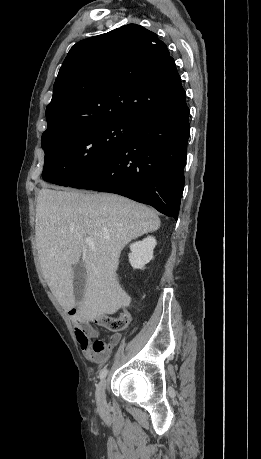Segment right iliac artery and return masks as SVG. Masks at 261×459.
<instances>
[{
    "label": "right iliac artery",
    "mask_w": 261,
    "mask_h": 459,
    "mask_svg": "<svg viewBox=\"0 0 261 459\" xmlns=\"http://www.w3.org/2000/svg\"><path fill=\"white\" fill-rule=\"evenodd\" d=\"M107 373H108V370H107V369H103V370L100 372V374H99V378H100V379L105 378L106 375H107Z\"/></svg>",
    "instance_id": "right-iliac-artery-1"
}]
</instances>
